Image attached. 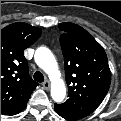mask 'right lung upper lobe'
<instances>
[{"label": "right lung upper lobe", "instance_id": "obj_1", "mask_svg": "<svg viewBox=\"0 0 121 121\" xmlns=\"http://www.w3.org/2000/svg\"><path fill=\"white\" fill-rule=\"evenodd\" d=\"M41 35V29L13 23L1 30V114L8 115L22 107L38 83L28 77V63L23 51Z\"/></svg>", "mask_w": 121, "mask_h": 121}]
</instances>
